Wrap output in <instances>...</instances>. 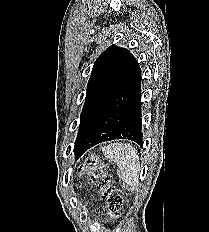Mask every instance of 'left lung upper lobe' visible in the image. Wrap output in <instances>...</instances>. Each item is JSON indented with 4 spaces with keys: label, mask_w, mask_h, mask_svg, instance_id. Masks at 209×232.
I'll use <instances>...</instances> for the list:
<instances>
[{
    "label": "left lung upper lobe",
    "mask_w": 209,
    "mask_h": 232,
    "mask_svg": "<svg viewBox=\"0 0 209 232\" xmlns=\"http://www.w3.org/2000/svg\"><path fill=\"white\" fill-rule=\"evenodd\" d=\"M135 61L136 59L127 49L115 45L107 48L98 57L87 85L81 123L92 108L112 95L123 83Z\"/></svg>",
    "instance_id": "1"
}]
</instances>
